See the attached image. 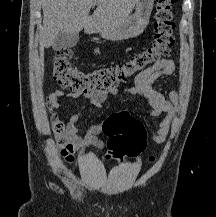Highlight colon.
I'll return each mask as SVG.
<instances>
[{
	"label": "colon",
	"instance_id": "obj_1",
	"mask_svg": "<svg viewBox=\"0 0 216 217\" xmlns=\"http://www.w3.org/2000/svg\"><path fill=\"white\" fill-rule=\"evenodd\" d=\"M177 1L156 0L153 40L148 47L135 53L126 62L116 66L83 71L70 63L71 50L63 49L57 52L53 60L54 79L62 86L79 91L105 89L125 82L134 74L165 59L170 55L174 43L173 6ZM51 125L61 155L71 161L72 152L68 147L65 124L53 117ZM104 132L109 137L107 159L123 161L125 158H135L146 146L144 125L126 113L110 117L104 124ZM149 161L154 163L156 157L151 156Z\"/></svg>",
	"mask_w": 216,
	"mask_h": 217
}]
</instances>
